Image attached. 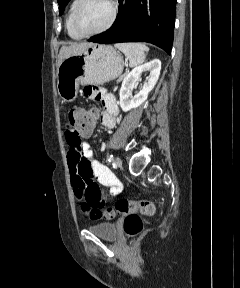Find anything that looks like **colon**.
<instances>
[{
	"label": "colon",
	"instance_id": "5ec220e1",
	"mask_svg": "<svg viewBox=\"0 0 240 288\" xmlns=\"http://www.w3.org/2000/svg\"><path fill=\"white\" fill-rule=\"evenodd\" d=\"M97 121V111L84 107L72 109L66 119V124L76 134H81L92 130ZM103 196L101 192H90L85 199L81 200L82 212L91 219L105 217L112 219L115 216L124 217V231L130 236L138 235L142 228L143 222L139 214L150 216L155 212V205L149 200L132 201L127 199L118 200L113 207L102 211Z\"/></svg>",
	"mask_w": 240,
	"mask_h": 288
}]
</instances>
